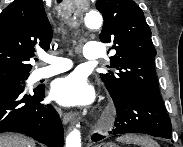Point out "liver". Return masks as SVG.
Returning <instances> with one entry per match:
<instances>
[{
    "label": "liver",
    "instance_id": "liver-1",
    "mask_svg": "<svg viewBox=\"0 0 183 147\" xmlns=\"http://www.w3.org/2000/svg\"><path fill=\"white\" fill-rule=\"evenodd\" d=\"M0 147H35V142L17 134H1Z\"/></svg>",
    "mask_w": 183,
    "mask_h": 147
}]
</instances>
